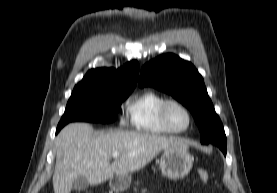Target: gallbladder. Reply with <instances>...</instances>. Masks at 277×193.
Segmentation results:
<instances>
[{
    "mask_svg": "<svg viewBox=\"0 0 277 193\" xmlns=\"http://www.w3.org/2000/svg\"><path fill=\"white\" fill-rule=\"evenodd\" d=\"M88 186L89 183L87 179L83 176H80L73 181L72 189L76 191H83L86 190Z\"/></svg>",
    "mask_w": 277,
    "mask_h": 193,
    "instance_id": "gallbladder-1",
    "label": "gallbladder"
}]
</instances>
